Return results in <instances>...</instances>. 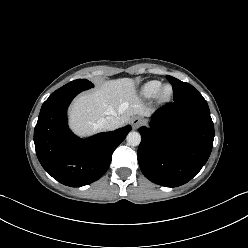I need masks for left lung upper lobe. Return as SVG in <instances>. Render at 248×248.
Returning a JSON list of instances; mask_svg holds the SVG:
<instances>
[{
	"instance_id": "5c2ea615",
	"label": "left lung upper lobe",
	"mask_w": 248,
	"mask_h": 248,
	"mask_svg": "<svg viewBox=\"0 0 248 248\" xmlns=\"http://www.w3.org/2000/svg\"><path fill=\"white\" fill-rule=\"evenodd\" d=\"M166 77L173 86L174 101H181L202 96L192 85L182 82L172 76Z\"/></svg>"
}]
</instances>
